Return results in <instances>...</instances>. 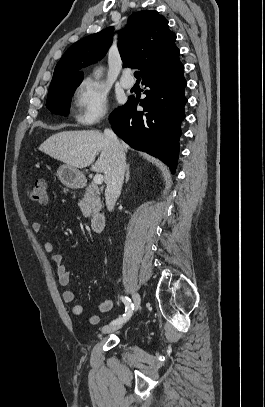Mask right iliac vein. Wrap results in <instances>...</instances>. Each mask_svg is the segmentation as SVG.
<instances>
[{
	"mask_svg": "<svg viewBox=\"0 0 265 407\" xmlns=\"http://www.w3.org/2000/svg\"><path fill=\"white\" fill-rule=\"evenodd\" d=\"M133 300L135 303V307L136 309L139 307L140 302H141V298L140 295L138 293H133ZM122 327L121 324H110V325H106L102 328V332L104 334H108V333H112L114 331H117L118 329H120Z\"/></svg>",
	"mask_w": 265,
	"mask_h": 407,
	"instance_id": "right-iliac-vein-1",
	"label": "right iliac vein"
}]
</instances>
